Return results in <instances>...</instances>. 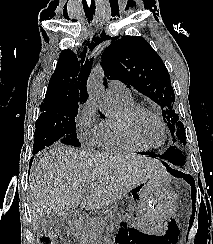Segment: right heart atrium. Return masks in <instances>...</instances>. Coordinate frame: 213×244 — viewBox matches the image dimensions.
Returning <instances> with one entry per match:
<instances>
[{
	"label": "right heart atrium",
	"mask_w": 213,
	"mask_h": 244,
	"mask_svg": "<svg viewBox=\"0 0 213 244\" xmlns=\"http://www.w3.org/2000/svg\"><path fill=\"white\" fill-rule=\"evenodd\" d=\"M75 123L80 140L88 145H96L102 120L93 102L87 101L80 106Z\"/></svg>",
	"instance_id": "1"
}]
</instances>
